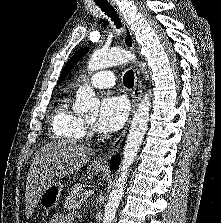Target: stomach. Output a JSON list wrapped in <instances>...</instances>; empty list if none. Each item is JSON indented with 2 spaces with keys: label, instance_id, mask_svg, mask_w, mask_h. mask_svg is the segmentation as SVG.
<instances>
[{
  "label": "stomach",
  "instance_id": "1",
  "mask_svg": "<svg viewBox=\"0 0 221 223\" xmlns=\"http://www.w3.org/2000/svg\"><path fill=\"white\" fill-rule=\"evenodd\" d=\"M94 170L97 172L103 171L105 169L104 165L100 164H93ZM63 190V185L59 182H54L50 184L39 196V203L40 206L45 209L49 210L58 204L60 199L61 192Z\"/></svg>",
  "mask_w": 221,
  "mask_h": 223
}]
</instances>
